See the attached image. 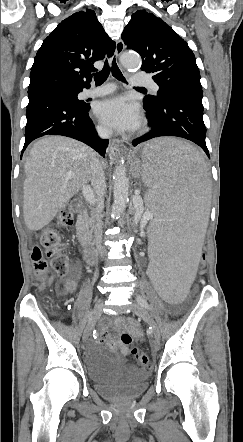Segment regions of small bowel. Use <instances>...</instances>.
Wrapping results in <instances>:
<instances>
[{
	"label": "small bowel",
	"instance_id": "obj_1",
	"mask_svg": "<svg viewBox=\"0 0 243 442\" xmlns=\"http://www.w3.org/2000/svg\"><path fill=\"white\" fill-rule=\"evenodd\" d=\"M81 277L82 275L79 267L74 266L73 272L63 280V290L65 292H74ZM113 326L117 331H128L135 339L139 340L143 336V332L138 323L132 318L118 317L114 320ZM109 328V320L102 321L98 342L105 344L111 350L119 349L123 354H127L128 348L125 345L120 344L115 337L110 335Z\"/></svg>",
	"mask_w": 243,
	"mask_h": 442
}]
</instances>
